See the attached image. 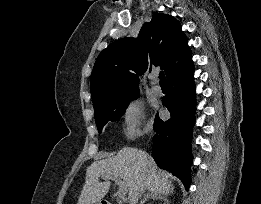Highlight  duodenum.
<instances>
[{"label":"duodenum","mask_w":261,"mask_h":204,"mask_svg":"<svg viewBox=\"0 0 261 204\" xmlns=\"http://www.w3.org/2000/svg\"><path fill=\"white\" fill-rule=\"evenodd\" d=\"M103 204H111V203H109V202H104Z\"/></svg>","instance_id":"1"}]
</instances>
